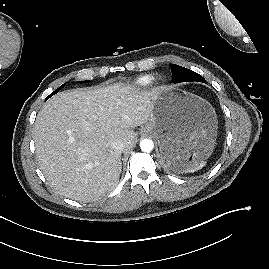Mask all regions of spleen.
<instances>
[{
	"label": "spleen",
	"mask_w": 269,
	"mask_h": 269,
	"mask_svg": "<svg viewBox=\"0 0 269 269\" xmlns=\"http://www.w3.org/2000/svg\"><path fill=\"white\" fill-rule=\"evenodd\" d=\"M205 163H206L205 161H202L200 164H198L192 168L187 169V172H193L195 170H198V169L202 168L205 165Z\"/></svg>",
	"instance_id": "obj_1"
}]
</instances>
